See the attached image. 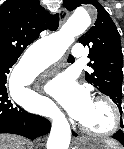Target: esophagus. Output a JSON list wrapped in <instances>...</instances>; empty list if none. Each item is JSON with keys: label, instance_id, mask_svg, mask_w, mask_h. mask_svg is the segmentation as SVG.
<instances>
[{"label": "esophagus", "instance_id": "obj_1", "mask_svg": "<svg viewBox=\"0 0 124 149\" xmlns=\"http://www.w3.org/2000/svg\"><path fill=\"white\" fill-rule=\"evenodd\" d=\"M68 16L69 12L65 8H61L59 11L60 25H62L67 20ZM36 88L42 91L41 85L39 83L36 84Z\"/></svg>", "mask_w": 124, "mask_h": 149}]
</instances>
